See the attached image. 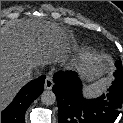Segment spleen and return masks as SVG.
Listing matches in <instances>:
<instances>
[{
	"mask_svg": "<svg viewBox=\"0 0 123 123\" xmlns=\"http://www.w3.org/2000/svg\"><path fill=\"white\" fill-rule=\"evenodd\" d=\"M111 78L104 77L100 79L99 81L93 83L92 85H89L84 89V96L86 97H96L100 94H102L105 89L110 85Z\"/></svg>",
	"mask_w": 123,
	"mask_h": 123,
	"instance_id": "1",
	"label": "spleen"
}]
</instances>
